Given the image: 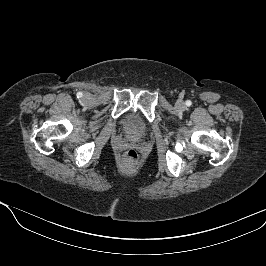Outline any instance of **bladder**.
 Here are the masks:
<instances>
[{"label":"bladder","mask_w":266,"mask_h":266,"mask_svg":"<svg viewBox=\"0 0 266 266\" xmlns=\"http://www.w3.org/2000/svg\"><path fill=\"white\" fill-rule=\"evenodd\" d=\"M126 132L133 137H140L146 131V125L142 118L135 113L128 114L124 119Z\"/></svg>","instance_id":"bladder-1"}]
</instances>
